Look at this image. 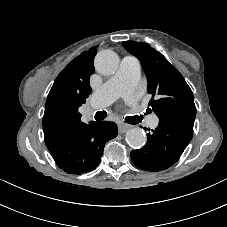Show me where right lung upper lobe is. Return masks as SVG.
Returning a JSON list of instances; mask_svg holds the SVG:
<instances>
[{
  "instance_id": "cb5924a9",
  "label": "right lung upper lobe",
  "mask_w": 227,
  "mask_h": 227,
  "mask_svg": "<svg viewBox=\"0 0 227 227\" xmlns=\"http://www.w3.org/2000/svg\"><path fill=\"white\" fill-rule=\"evenodd\" d=\"M96 53V48L82 52L54 81L47 97L42 121L48 149L87 125L81 121L78 108L86 102L91 92L89 78L94 72Z\"/></svg>"
}]
</instances>
